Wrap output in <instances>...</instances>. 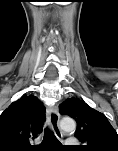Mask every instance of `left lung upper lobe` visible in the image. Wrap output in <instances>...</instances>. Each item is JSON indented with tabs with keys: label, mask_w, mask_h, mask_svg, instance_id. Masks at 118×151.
<instances>
[{
	"label": "left lung upper lobe",
	"mask_w": 118,
	"mask_h": 151,
	"mask_svg": "<svg viewBox=\"0 0 118 151\" xmlns=\"http://www.w3.org/2000/svg\"><path fill=\"white\" fill-rule=\"evenodd\" d=\"M60 113L77 122L75 136L85 145L81 151H118V135L107 117L83 100L72 97L59 105Z\"/></svg>",
	"instance_id": "1"
}]
</instances>
